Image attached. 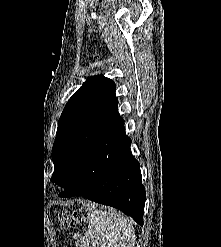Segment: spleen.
Listing matches in <instances>:
<instances>
[{
  "label": "spleen",
  "mask_w": 221,
  "mask_h": 247,
  "mask_svg": "<svg viewBox=\"0 0 221 247\" xmlns=\"http://www.w3.org/2000/svg\"><path fill=\"white\" fill-rule=\"evenodd\" d=\"M88 219V231L80 247H134V228L123 215L115 211H94Z\"/></svg>",
  "instance_id": "obj_1"
}]
</instances>
